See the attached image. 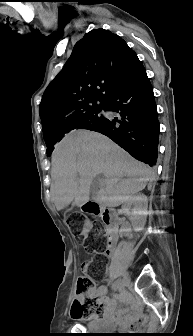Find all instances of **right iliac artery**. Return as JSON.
I'll return each mask as SVG.
<instances>
[{
	"mask_svg": "<svg viewBox=\"0 0 193 336\" xmlns=\"http://www.w3.org/2000/svg\"><path fill=\"white\" fill-rule=\"evenodd\" d=\"M120 285V280H117L114 284H113V289L117 290L119 288ZM114 299H119L121 297V294L116 293L113 295Z\"/></svg>",
	"mask_w": 193,
	"mask_h": 336,
	"instance_id": "obj_1",
	"label": "right iliac artery"
}]
</instances>
